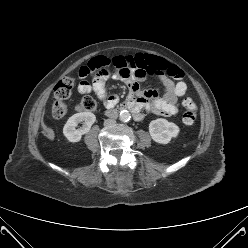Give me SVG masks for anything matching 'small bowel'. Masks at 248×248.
Listing matches in <instances>:
<instances>
[{
    "label": "small bowel",
    "instance_id": "small-bowel-1",
    "mask_svg": "<svg viewBox=\"0 0 248 248\" xmlns=\"http://www.w3.org/2000/svg\"><path fill=\"white\" fill-rule=\"evenodd\" d=\"M127 58L131 63L128 74L121 73H101L92 82L84 77L86 68L80 70L83 77L78 84L77 90L80 94L94 93L109 109L114 107L119 98L117 95L108 96L105 85L108 79H124L129 87L128 101L132 102L133 113L136 120L143 118L142 111L159 116H171L178 112L179 100L186 93L187 86L183 80V74L176 66L166 60L146 53H134L126 55H115ZM148 76H154L163 88V95L159 96L157 90H142L140 83Z\"/></svg>",
    "mask_w": 248,
    "mask_h": 248
}]
</instances>
